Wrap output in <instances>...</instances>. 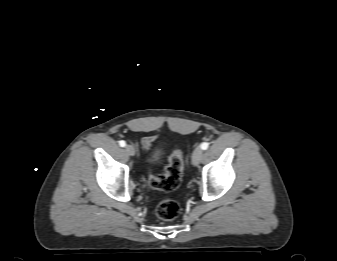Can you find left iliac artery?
Returning <instances> with one entry per match:
<instances>
[{"mask_svg":"<svg viewBox=\"0 0 337 261\" xmlns=\"http://www.w3.org/2000/svg\"><path fill=\"white\" fill-rule=\"evenodd\" d=\"M208 147H209V144H208L207 142H203V143L201 144V149H202V150H206V149H208Z\"/></svg>","mask_w":337,"mask_h":261,"instance_id":"1","label":"left iliac artery"}]
</instances>
